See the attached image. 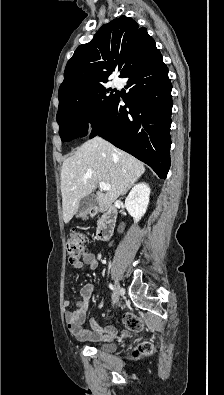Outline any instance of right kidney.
Masks as SVG:
<instances>
[{
  "mask_svg": "<svg viewBox=\"0 0 224 395\" xmlns=\"http://www.w3.org/2000/svg\"><path fill=\"white\" fill-rule=\"evenodd\" d=\"M150 188L146 183L135 185L125 200L128 213L137 223L146 213L149 204Z\"/></svg>",
  "mask_w": 224,
  "mask_h": 395,
  "instance_id": "obj_1",
  "label": "right kidney"
}]
</instances>
